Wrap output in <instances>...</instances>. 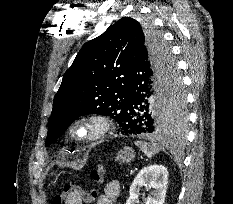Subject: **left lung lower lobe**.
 Instances as JSON below:
<instances>
[{
  "label": "left lung lower lobe",
  "instance_id": "left-lung-lower-lobe-1",
  "mask_svg": "<svg viewBox=\"0 0 233 204\" xmlns=\"http://www.w3.org/2000/svg\"><path fill=\"white\" fill-rule=\"evenodd\" d=\"M158 60L161 61V58ZM179 79L181 78L175 66L171 73L169 88L171 89ZM166 83L158 66L154 68L149 50L141 48L132 65L129 92L121 107L122 134L138 135L160 132L163 116L161 110L168 87ZM153 104L159 108L154 109ZM183 124L184 122L176 128L163 132L177 131L181 138Z\"/></svg>",
  "mask_w": 233,
  "mask_h": 204
}]
</instances>
